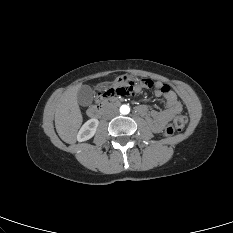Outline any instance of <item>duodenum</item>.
<instances>
[{"instance_id": "obj_1", "label": "duodenum", "mask_w": 233, "mask_h": 233, "mask_svg": "<svg viewBox=\"0 0 233 233\" xmlns=\"http://www.w3.org/2000/svg\"><path fill=\"white\" fill-rule=\"evenodd\" d=\"M120 104L118 99L110 98L103 101L100 104L94 105L89 108L88 116L92 119H98L102 116V114L108 109L118 106Z\"/></svg>"}]
</instances>
